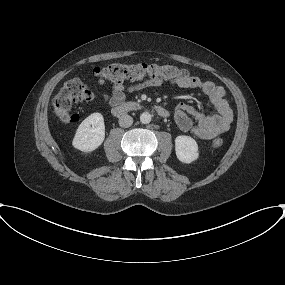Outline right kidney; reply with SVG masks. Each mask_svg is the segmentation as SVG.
<instances>
[{
	"mask_svg": "<svg viewBox=\"0 0 285 285\" xmlns=\"http://www.w3.org/2000/svg\"><path fill=\"white\" fill-rule=\"evenodd\" d=\"M104 138V118L100 113H93L79 125L72 145L80 151L92 152L103 143Z\"/></svg>",
	"mask_w": 285,
	"mask_h": 285,
	"instance_id": "1",
	"label": "right kidney"
}]
</instances>
